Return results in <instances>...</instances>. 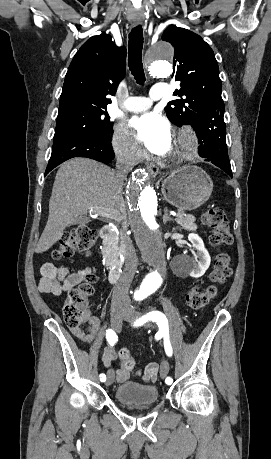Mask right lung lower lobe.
Returning a JSON list of instances; mask_svg holds the SVG:
<instances>
[{
  "instance_id": "98d812e1",
  "label": "right lung lower lobe",
  "mask_w": 271,
  "mask_h": 459,
  "mask_svg": "<svg viewBox=\"0 0 271 459\" xmlns=\"http://www.w3.org/2000/svg\"><path fill=\"white\" fill-rule=\"evenodd\" d=\"M110 139L91 135H73L53 143L45 176L56 166L73 157H87L100 162L114 159Z\"/></svg>"
}]
</instances>
